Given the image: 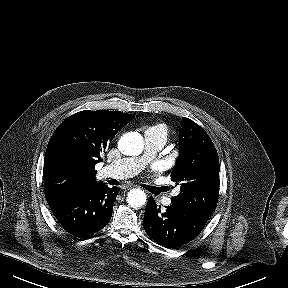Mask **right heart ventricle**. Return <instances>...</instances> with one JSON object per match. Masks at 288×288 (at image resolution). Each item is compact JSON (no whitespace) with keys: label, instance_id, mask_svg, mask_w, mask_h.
Segmentation results:
<instances>
[{"label":"right heart ventricle","instance_id":"obj_1","mask_svg":"<svg viewBox=\"0 0 288 288\" xmlns=\"http://www.w3.org/2000/svg\"><path fill=\"white\" fill-rule=\"evenodd\" d=\"M152 128H157V129L162 130L164 132L166 138H167L169 131H168V128L165 125L159 124V125H156V126H154Z\"/></svg>","mask_w":288,"mask_h":288}]
</instances>
